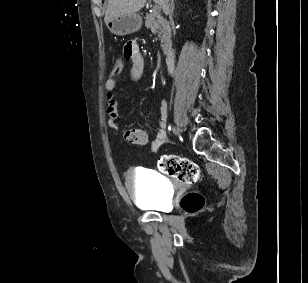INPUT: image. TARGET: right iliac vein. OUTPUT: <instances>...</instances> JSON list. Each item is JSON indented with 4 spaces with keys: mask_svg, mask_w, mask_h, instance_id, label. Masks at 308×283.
Wrapping results in <instances>:
<instances>
[{
    "mask_svg": "<svg viewBox=\"0 0 308 283\" xmlns=\"http://www.w3.org/2000/svg\"><path fill=\"white\" fill-rule=\"evenodd\" d=\"M175 131H176V133H179V128L176 127V128H175Z\"/></svg>",
    "mask_w": 308,
    "mask_h": 283,
    "instance_id": "1",
    "label": "right iliac vein"
}]
</instances>
